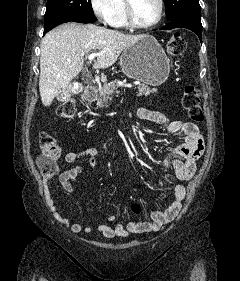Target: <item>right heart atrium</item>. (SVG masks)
<instances>
[{
	"instance_id": "right-heart-atrium-1",
	"label": "right heart atrium",
	"mask_w": 240,
	"mask_h": 281,
	"mask_svg": "<svg viewBox=\"0 0 240 281\" xmlns=\"http://www.w3.org/2000/svg\"><path fill=\"white\" fill-rule=\"evenodd\" d=\"M115 0H89L95 17L104 24H110L115 13Z\"/></svg>"
}]
</instances>
